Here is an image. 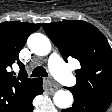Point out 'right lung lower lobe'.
I'll return each instance as SVG.
<instances>
[{
    "label": "right lung lower lobe",
    "instance_id": "obj_1",
    "mask_svg": "<svg viewBox=\"0 0 112 112\" xmlns=\"http://www.w3.org/2000/svg\"><path fill=\"white\" fill-rule=\"evenodd\" d=\"M41 93H43L42 79L36 83V86L30 92V94L28 95V97L26 98V100L24 101L23 105L21 106L18 112H33L32 101L35 96Z\"/></svg>",
    "mask_w": 112,
    "mask_h": 112
}]
</instances>
